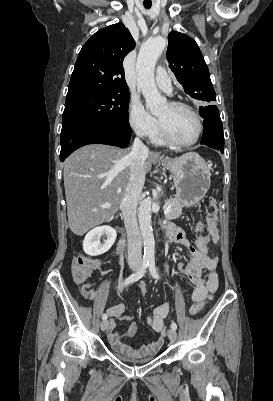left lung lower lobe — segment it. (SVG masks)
I'll list each match as a JSON object with an SVG mask.
<instances>
[{"instance_id":"0a47b994","label":"left lung lower lobe","mask_w":273,"mask_h":401,"mask_svg":"<svg viewBox=\"0 0 273 401\" xmlns=\"http://www.w3.org/2000/svg\"><path fill=\"white\" fill-rule=\"evenodd\" d=\"M199 113L204 118V133L201 144L220 150L224 153L223 125L219 115V109L215 105L200 107Z\"/></svg>"}]
</instances>
